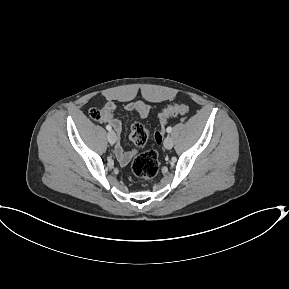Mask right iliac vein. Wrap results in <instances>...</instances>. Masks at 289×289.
<instances>
[{
	"mask_svg": "<svg viewBox=\"0 0 289 289\" xmlns=\"http://www.w3.org/2000/svg\"><path fill=\"white\" fill-rule=\"evenodd\" d=\"M107 138L110 144H114L117 140V136L114 131H109L107 134Z\"/></svg>",
	"mask_w": 289,
	"mask_h": 289,
	"instance_id": "right-iliac-vein-1",
	"label": "right iliac vein"
}]
</instances>
